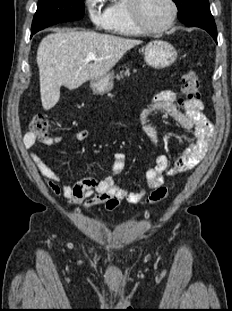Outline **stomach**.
Returning <instances> with one entry per match:
<instances>
[{"label":"stomach","instance_id":"stomach-1","mask_svg":"<svg viewBox=\"0 0 232 311\" xmlns=\"http://www.w3.org/2000/svg\"><path fill=\"white\" fill-rule=\"evenodd\" d=\"M144 59L148 66L162 69L170 66L177 59L176 49L168 42L154 40L143 49ZM113 88V73L90 81V89L94 94L103 95Z\"/></svg>","mask_w":232,"mask_h":311}]
</instances>
